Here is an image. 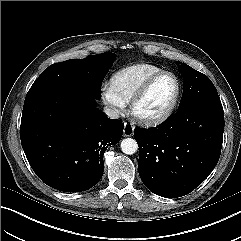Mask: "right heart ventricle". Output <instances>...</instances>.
I'll use <instances>...</instances> for the list:
<instances>
[{
  "instance_id": "e07e8e85",
  "label": "right heart ventricle",
  "mask_w": 241,
  "mask_h": 241,
  "mask_svg": "<svg viewBox=\"0 0 241 241\" xmlns=\"http://www.w3.org/2000/svg\"><path fill=\"white\" fill-rule=\"evenodd\" d=\"M162 70L161 67L149 63L129 65L116 71L111 76L110 84L127 104L148 78Z\"/></svg>"
}]
</instances>
